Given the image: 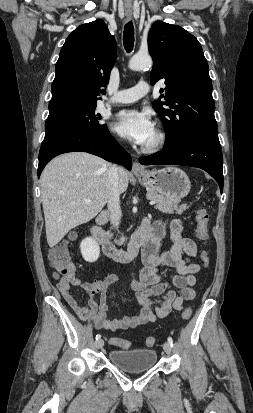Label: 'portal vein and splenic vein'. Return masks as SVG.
Masks as SVG:
<instances>
[{"mask_svg": "<svg viewBox=\"0 0 253 413\" xmlns=\"http://www.w3.org/2000/svg\"><path fill=\"white\" fill-rule=\"evenodd\" d=\"M85 202H86V203L90 202V199H86ZM149 204H150V205H154V204H156V202H155L154 200H151V201L149 202Z\"/></svg>", "mask_w": 253, "mask_h": 413, "instance_id": "1", "label": "portal vein and splenic vein"}]
</instances>
